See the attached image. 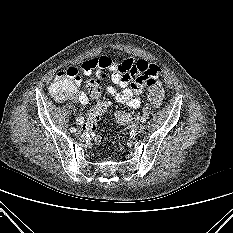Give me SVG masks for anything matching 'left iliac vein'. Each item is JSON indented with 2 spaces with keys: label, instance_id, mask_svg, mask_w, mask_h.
<instances>
[{
  "label": "left iliac vein",
  "instance_id": "4c4485c4",
  "mask_svg": "<svg viewBox=\"0 0 233 233\" xmlns=\"http://www.w3.org/2000/svg\"><path fill=\"white\" fill-rule=\"evenodd\" d=\"M145 128H146V126L144 124H141L137 127V132L142 133V132H144Z\"/></svg>",
  "mask_w": 233,
  "mask_h": 233
}]
</instances>
